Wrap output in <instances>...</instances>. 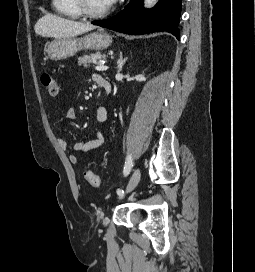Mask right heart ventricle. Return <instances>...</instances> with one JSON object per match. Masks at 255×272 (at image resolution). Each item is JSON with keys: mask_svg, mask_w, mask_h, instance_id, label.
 <instances>
[{"mask_svg": "<svg viewBox=\"0 0 255 272\" xmlns=\"http://www.w3.org/2000/svg\"><path fill=\"white\" fill-rule=\"evenodd\" d=\"M52 8L56 13L70 18H79L82 15L75 0H52Z\"/></svg>", "mask_w": 255, "mask_h": 272, "instance_id": "e07e8e85", "label": "right heart ventricle"}]
</instances>
